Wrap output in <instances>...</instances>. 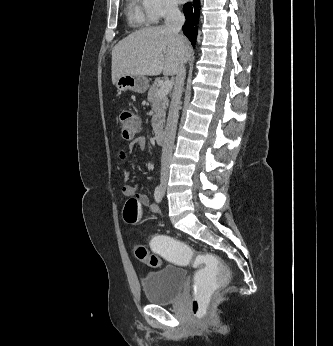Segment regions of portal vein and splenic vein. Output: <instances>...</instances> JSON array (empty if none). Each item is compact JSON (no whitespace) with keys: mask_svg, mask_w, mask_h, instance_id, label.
I'll return each mask as SVG.
<instances>
[{"mask_svg":"<svg viewBox=\"0 0 333 346\" xmlns=\"http://www.w3.org/2000/svg\"><path fill=\"white\" fill-rule=\"evenodd\" d=\"M172 87H173V83L171 81L163 82L158 91V95L166 96L172 90Z\"/></svg>","mask_w":333,"mask_h":346,"instance_id":"obj_1","label":"portal vein and splenic vein"}]
</instances>
